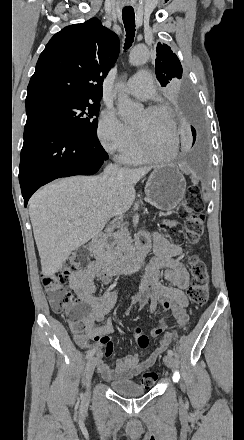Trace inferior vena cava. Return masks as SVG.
Segmentation results:
<instances>
[{
    "instance_id": "602c4592",
    "label": "inferior vena cava",
    "mask_w": 244,
    "mask_h": 440,
    "mask_svg": "<svg viewBox=\"0 0 244 440\" xmlns=\"http://www.w3.org/2000/svg\"><path fill=\"white\" fill-rule=\"evenodd\" d=\"M119 170H125V168H119L117 164H109L107 166L106 170L103 172V180H108V178H112V176H115Z\"/></svg>"
}]
</instances>
